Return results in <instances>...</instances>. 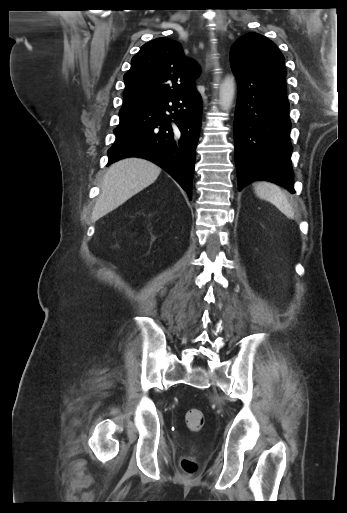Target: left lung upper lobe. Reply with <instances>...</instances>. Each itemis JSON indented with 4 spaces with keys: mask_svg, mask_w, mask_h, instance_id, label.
Wrapping results in <instances>:
<instances>
[{
    "mask_svg": "<svg viewBox=\"0 0 347 513\" xmlns=\"http://www.w3.org/2000/svg\"><path fill=\"white\" fill-rule=\"evenodd\" d=\"M284 57L276 45L257 33L240 37L231 47L230 65L253 75H283Z\"/></svg>",
    "mask_w": 347,
    "mask_h": 513,
    "instance_id": "obj_1",
    "label": "left lung upper lobe"
}]
</instances>
